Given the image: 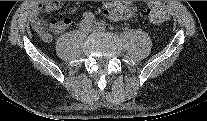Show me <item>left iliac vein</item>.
Here are the masks:
<instances>
[{"label": "left iliac vein", "mask_w": 207, "mask_h": 121, "mask_svg": "<svg viewBox=\"0 0 207 121\" xmlns=\"http://www.w3.org/2000/svg\"><path fill=\"white\" fill-rule=\"evenodd\" d=\"M96 30H103L102 28H100L99 26L95 28Z\"/></svg>", "instance_id": "left-iliac-vein-1"}]
</instances>
